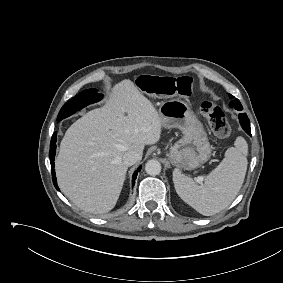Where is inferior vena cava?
<instances>
[{"label":"inferior vena cava","mask_w":283,"mask_h":283,"mask_svg":"<svg viewBox=\"0 0 283 283\" xmlns=\"http://www.w3.org/2000/svg\"><path fill=\"white\" fill-rule=\"evenodd\" d=\"M140 159V155L136 151H128L123 156V163L126 166L135 164Z\"/></svg>","instance_id":"inferior-vena-cava-1"}]
</instances>
